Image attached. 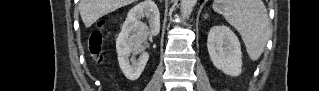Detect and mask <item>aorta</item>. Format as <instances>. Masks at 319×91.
Instances as JSON below:
<instances>
[{
    "label": "aorta",
    "mask_w": 319,
    "mask_h": 91,
    "mask_svg": "<svg viewBox=\"0 0 319 91\" xmlns=\"http://www.w3.org/2000/svg\"><path fill=\"white\" fill-rule=\"evenodd\" d=\"M196 2L197 0H181V14L183 18H188L191 15Z\"/></svg>",
    "instance_id": "aorta-1"
}]
</instances>
